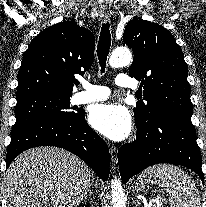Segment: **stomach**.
Listing matches in <instances>:
<instances>
[{
    "label": "stomach",
    "instance_id": "stomach-1",
    "mask_svg": "<svg viewBox=\"0 0 206 207\" xmlns=\"http://www.w3.org/2000/svg\"><path fill=\"white\" fill-rule=\"evenodd\" d=\"M133 190L139 193L148 192L151 190V184L144 178L140 176L137 178L135 182L132 184Z\"/></svg>",
    "mask_w": 206,
    "mask_h": 207
}]
</instances>
